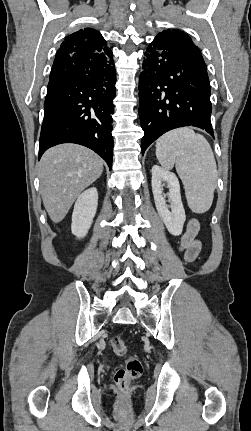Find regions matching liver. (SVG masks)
<instances>
[{"instance_id": "obj_1", "label": "liver", "mask_w": 251, "mask_h": 431, "mask_svg": "<svg viewBox=\"0 0 251 431\" xmlns=\"http://www.w3.org/2000/svg\"><path fill=\"white\" fill-rule=\"evenodd\" d=\"M103 172V160L92 150L76 144L47 150L39 163L40 193L51 220L64 219L81 192Z\"/></svg>"}]
</instances>
